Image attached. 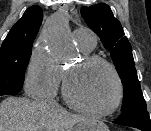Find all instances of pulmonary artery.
Instances as JSON below:
<instances>
[{
    "mask_svg": "<svg viewBox=\"0 0 151 131\" xmlns=\"http://www.w3.org/2000/svg\"><path fill=\"white\" fill-rule=\"evenodd\" d=\"M73 37L79 47L86 51H91L96 45V36L89 29L77 28L73 31Z\"/></svg>",
    "mask_w": 151,
    "mask_h": 131,
    "instance_id": "pulmonary-artery-1",
    "label": "pulmonary artery"
}]
</instances>
